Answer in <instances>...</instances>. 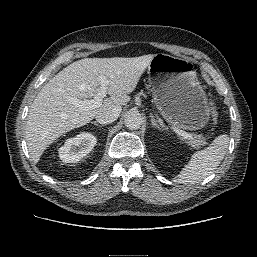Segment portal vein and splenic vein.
<instances>
[{
    "label": "portal vein and splenic vein",
    "mask_w": 257,
    "mask_h": 257,
    "mask_svg": "<svg viewBox=\"0 0 257 257\" xmlns=\"http://www.w3.org/2000/svg\"><path fill=\"white\" fill-rule=\"evenodd\" d=\"M98 80L100 82V89L97 91V93L94 95L93 99L90 100H79L76 98H71L70 101L76 106L78 107L80 110H89V109H93V108H97L99 106H101L102 104V99L104 97H106L107 94V88L109 85V81L103 77V76H99ZM172 129L179 134L180 136H182L185 139L188 140H192L193 136L192 134L181 130L177 127H173Z\"/></svg>",
    "instance_id": "18ae733b"
}]
</instances>
